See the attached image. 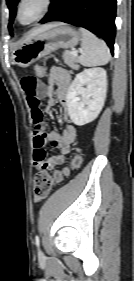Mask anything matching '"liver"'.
I'll use <instances>...</instances> for the list:
<instances>
[{"instance_id": "6515ba94", "label": "liver", "mask_w": 134, "mask_h": 281, "mask_svg": "<svg viewBox=\"0 0 134 281\" xmlns=\"http://www.w3.org/2000/svg\"><path fill=\"white\" fill-rule=\"evenodd\" d=\"M53 26H54V24H48V25H43V26H41V27H39L37 29L32 30L30 32V34L27 36V38L25 39V41L33 38L34 36H36V35L44 32V31H46L47 29H49V28H51Z\"/></svg>"}]
</instances>
